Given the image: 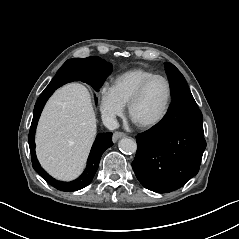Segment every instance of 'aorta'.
Returning a JSON list of instances; mask_svg holds the SVG:
<instances>
[{
  "instance_id": "1",
  "label": "aorta",
  "mask_w": 239,
  "mask_h": 239,
  "mask_svg": "<svg viewBox=\"0 0 239 239\" xmlns=\"http://www.w3.org/2000/svg\"><path fill=\"white\" fill-rule=\"evenodd\" d=\"M118 147L121 151L125 153H135L137 150L136 141L134 139H130L126 137L122 138L119 141Z\"/></svg>"
}]
</instances>
